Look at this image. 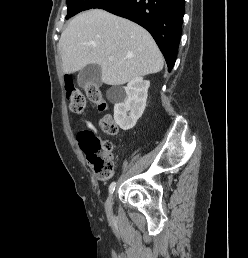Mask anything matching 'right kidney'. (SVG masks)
Returning <instances> with one entry per match:
<instances>
[{"mask_svg":"<svg viewBox=\"0 0 248 258\" xmlns=\"http://www.w3.org/2000/svg\"><path fill=\"white\" fill-rule=\"evenodd\" d=\"M149 86L148 80L137 77L126 87L113 88L107 92L108 98L115 102L114 120L121 129L133 128L142 116L146 107Z\"/></svg>","mask_w":248,"mask_h":258,"instance_id":"1","label":"right kidney"}]
</instances>
